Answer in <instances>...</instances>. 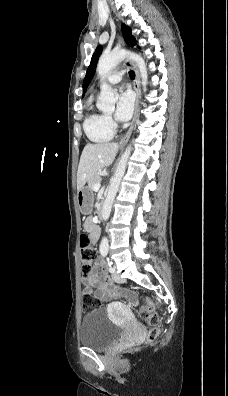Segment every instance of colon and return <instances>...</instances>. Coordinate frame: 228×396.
I'll list each match as a JSON object with an SVG mask.
<instances>
[{
    "label": "colon",
    "mask_w": 228,
    "mask_h": 396,
    "mask_svg": "<svg viewBox=\"0 0 228 396\" xmlns=\"http://www.w3.org/2000/svg\"><path fill=\"white\" fill-rule=\"evenodd\" d=\"M80 253L82 259V272L85 277H89L92 267L96 261V258L89 246V237L86 233H82L79 238ZM101 307V301L92 295L91 293H84L82 296V310L85 313L99 309ZM141 310L144 313V318L149 330L145 336L146 342H152L156 339L160 330V317L159 314L154 310V306L151 300L147 299L145 303L141 305Z\"/></svg>",
    "instance_id": "1"
}]
</instances>
